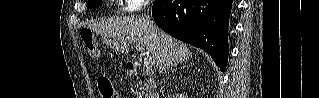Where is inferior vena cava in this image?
<instances>
[{
    "instance_id": "1",
    "label": "inferior vena cava",
    "mask_w": 319,
    "mask_h": 98,
    "mask_svg": "<svg viewBox=\"0 0 319 98\" xmlns=\"http://www.w3.org/2000/svg\"><path fill=\"white\" fill-rule=\"evenodd\" d=\"M145 20L148 22V24H153V22L151 21V17L149 15L145 17Z\"/></svg>"
}]
</instances>
